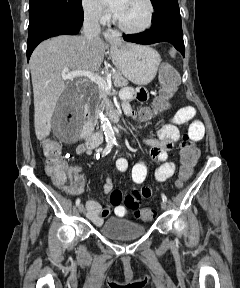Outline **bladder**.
Segmentation results:
<instances>
[{"label":"bladder","mask_w":240,"mask_h":288,"mask_svg":"<svg viewBox=\"0 0 240 288\" xmlns=\"http://www.w3.org/2000/svg\"><path fill=\"white\" fill-rule=\"evenodd\" d=\"M100 233L114 240H131L143 236L146 227L128 219H112L103 224Z\"/></svg>","instance_id":"31cf9c89"}]
</instances>
